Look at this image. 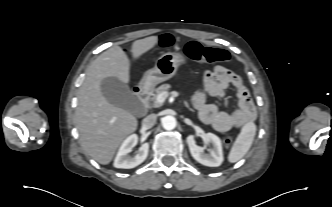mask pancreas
Segmentation results:
<instances>
[{
  "instance_id": "pancreas-1",
  "label": "pancreas",
  "mask_w": 332,
  "mask_h": 207,
  "mask_svg": "<svg viewBox=\"0 0 332 207\" xmlns=\"http://www.w3.org/2000/svg\"><path fill=\"white\" fill-rule=\"evenodd\" d=\"M171 88L170 84H163L161 86H159L158 88H156L154 90V92L152 93V97L149 100V104L153 107H159L161 106L160 103L157 102V97L163 93V92H167V90H169Z\"/></svg>"
}]
</instances>
